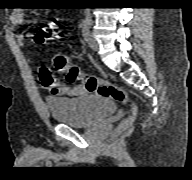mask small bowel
Wrapping results in <instances>:
<instances>
[{
    "mask_svg": "<svg viewBox=\"0 0 192 180\" xmlns=\"http://www.w3.org/2000/svg\"><path fill=\"white\" fill-rule=\"evenodd\" d=\"M10 21L13 25H22L24 22L22 11H13ZM39 76L42 85L54 96L78 97L86 93L82 85L68 86L58 82L47 68L42 67Z\"/></svg>",
    "mask_w": 192,
    "mask_h": 180,
    "instance_id": "small-bowel-1",
    "label": "small bowel"
}]
</instances>
